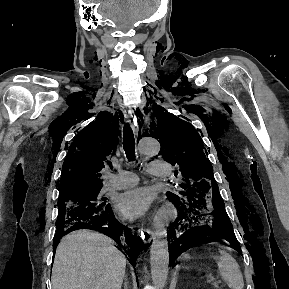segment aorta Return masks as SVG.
Returning a JSON list of instances; mask_svg holds the SVG:
<instances>
[{"mask_svg": "<svg viewBox=\"0 0 289 289\" xmlns=\"http://www.w3.org/2000/svg\"><path fill=\"white\" fill-rule=\"evenodd\" d=\"M139 153L142 156H157L160 152L159 142L152 137H144L139 141ZM150 265L152 282L156 289H164L169 271V250L167 231H156L150 249Z\"/></svg>", "mask_w": 289, "mask_h": 289, "instance_id": "obj_1", "label": "aorta"}]
</instances>
